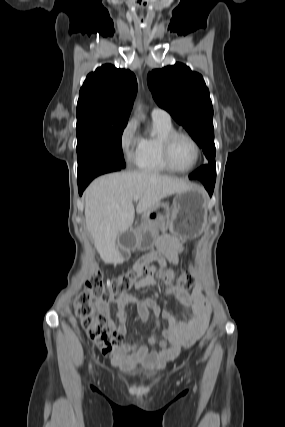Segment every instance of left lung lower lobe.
<instances>
[{
	"label": "left lung lower lobe",
	"instance_id": "0a47b994",
	"mask_svg": "<svg viewBox=\"0 0 285 427\" xmlns=\"http://www.w3.org/2000/svg\"><path fill=\"white\" fill-rule=\"evenodd\" d=\"M189 179L200 180L204 184L209 195L211 196L214 190L216 179L215 161L209 162L208 165H204L197 169L195 172L189 175Z\"/></svg>",
	"mask_w": 285,
	"mask_h": 427
}]
</instances>
